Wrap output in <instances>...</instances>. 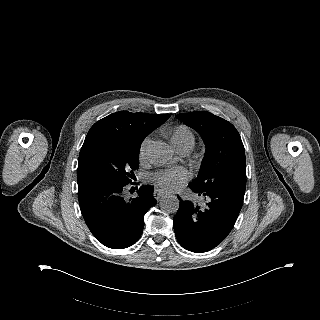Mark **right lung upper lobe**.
<instances>
[{
	"instance_id": "right-lung-upper-lobe-1",
	"label": "right lung upper lobe",
	"mask_w": 320,
	"mask_h": 320,
	"mask_svg": "<svg viewBox=\"0 0 320 320\" xmlns=\"http://www.w3.org/2000/svg\"><path fill=\"white\" fill-rule=\"evenodd\" d=\"M169 117V114L152 115L130 113L128 111L110 114L91 127L81 148L80 155L101 144L142 143L148 134L162 125Z\"/></svg>"
}]
</instances>
